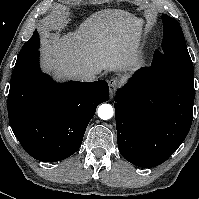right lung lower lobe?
Returning <instances> with one entry per match:
<instances>
[{
	"label": "right lung lower lobe",
	"mask_w": 199,
	"mask_h": 199,
	"mask_svg": "<svg viewBox=\"0 0 199 199\" xmlns=\"http://www.w3.org/2000/svg\"><path fill=\"white\" fill-rule=\"evenodd\" d=\"M109 99L108 83H56L43 74L39 51L14 67L8 117L22 147L44 162L66 159L81 146L98 104Z\"/></svg>",
	"instance_id": "right-lung-lower-lobe-1"
}]
</instances>
